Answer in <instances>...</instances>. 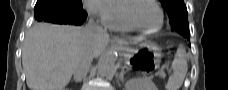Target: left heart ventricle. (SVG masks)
<instances>
[{
    "mask_svg": "<svg viewBox=\"0 0 228 90\" xmlns=\"http://www.w3.org/2000/svg\"><path fill=\"white\" fill-rule=\"evenodd\" d=\"M127 13L131 20L142 28L155 29L160 24L158 9L147 0L132 4Z\"/></svg>",
    "mask_w": 228,
    "mask_h": 90,
    "instance_id": "obj_1",
    "label": "left heart ventricle"
}]
</instances>
